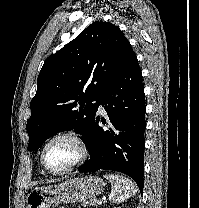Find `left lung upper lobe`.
Instances as JSON below:
<instances>
[{"label": "left lung upper lobe", "instance_id": "1", "mask_svg": "<svg viewBox=\"0 0 199 208\" xmlns=\"http://www.w3.org/2000/svg\"><path fill=\"white\" fill-rule=\"evenodd\" d=\"M134 55L117 26L96 21L49 56L31 100L28 150L37 151L47 138L72 129L85 142L96 114L94 102Z\"/></svg>", "mask_w": 199, "mask_h": 208}]
</instances>
